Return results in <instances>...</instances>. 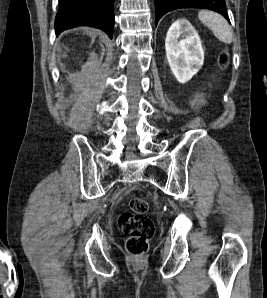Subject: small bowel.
Segmentation results:
<instances>
[{"label":"small bowel","mask_w":267,"mask_h":298,"mask_svg":"<svg viewBox=\"0 0 267 298\" xmlns=\"http://www.w3.org/2000/svg\"><path fill=\"white\" fill-rule=\"evenodd\" d=\"M201 103H202V100L201 99L194 100V104L195 105H200Z\"/></svg>","instance_id":"c3829d8e"}]
</instances>
